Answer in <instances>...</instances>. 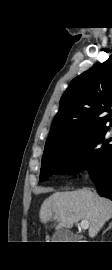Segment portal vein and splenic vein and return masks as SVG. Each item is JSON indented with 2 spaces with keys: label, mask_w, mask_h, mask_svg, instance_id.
Wrapping results in <instances>:
<instances>
[{
  "label": "portal vein and splenic vein",
  "mask_w": 112,
  "mask_h": 270,
  "mask_svg": "<svg viewBox=\"0 0 112 270\" xmlns=\"http://www.w3.org/2000/svg\"><path fill=\"white\" fill-rule=\"evenodd\" d=\"M80 226L82 229H88L89 228V223L86 220H82L80 223Z\"/></svg>",
  "instance_id": "portal-vein-and-splenic-vein-1"
}]
</instances>
